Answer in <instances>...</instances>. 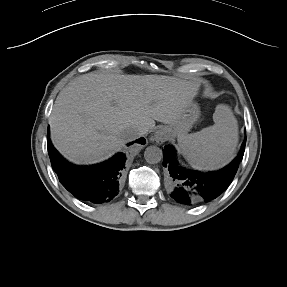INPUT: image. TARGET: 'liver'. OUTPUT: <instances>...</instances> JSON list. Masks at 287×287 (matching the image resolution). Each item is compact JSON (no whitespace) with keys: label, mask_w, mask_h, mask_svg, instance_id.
Here are the masks:
<instances>
[{"label":"liver","mask_w":287,"mask_h":287,"mask_svg":"<svg viewBox=\"0 0 287 287\" xmlns=\"http://www.w3.org/2000/svg\"><path fill=\"white\" fill-rule=\"evenodd\" d=\"M199 83L158 75L90 72L58 94L49 118L55 148L75 164L102 162L127 143L123 131L150 132L180 119ZM145 133V134H146Z\"/></svg>","instance_id":"6515ba94"}]
</instances>
